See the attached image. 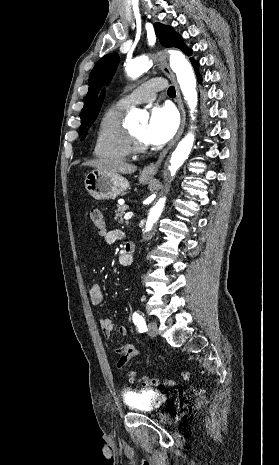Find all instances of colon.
Listing matches in <instances>:
<instances>
[{
  "instance_id": "5ec220e1",
  "label": "colon",
  "mask_w": 279,
  "mask_h": 465,
  "mask_svg": "<svg viewBox=\"0 0 279 465\" xmlns=\"http://www.w3.org/2000/svg\"><path fill=\"white\" fill-rule=\"evenodd\" d=\"M89 217H90V220L93 226L96 227L100 233H104L105 222H104V218H103L101 211L97 208H93L90 210ZM128 374L130 378H134L133 371H129ZM182 376L185 380L189 378V374L187 372H184ZM139 381L144 386H159V385L173 386L175 384L174 380L172 379L159 380L156 378H149V377H142Z\"/></svg>"
}]
</instances>
